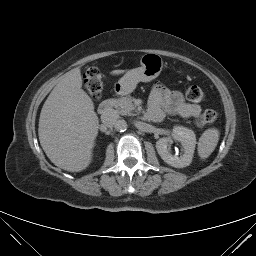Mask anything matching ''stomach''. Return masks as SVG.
<instances>
[{
  "label": "stomach",
  "instance_id": "stomach-1",
  "mask_svg": "<svg viewBox=\"0 0 256 256\" xmlns=\"http://www.w3.org/2000/svg\"><path fill=\"white\" fill-rule=\"evenodd\" d=\"M141 67L127 71L115 84V91L119 95L133 92L139 82H150L157 78L162 69V58L154 53L144 54L140 59Z\"/></svg>",
  "mask_w": 256,
  "mask_h": 256
}]
</instances>
